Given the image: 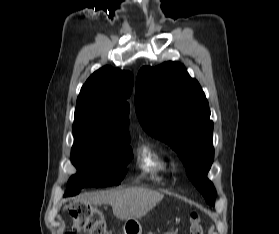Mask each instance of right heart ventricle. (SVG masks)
<instances>
[{
  "mask_svg": "<svg viewBox=\"0 0 279 234\" xmlns=\"http://www.w3.org/2000/svg\"><path fill=\"white\" fill-rule=\"evenodd\" d=\"M139 163L144 171L152 174L156 179H160L170 169V162L165 155L149 144L139 149Z\"/></svg>",
  "mask_w": 279,
  "mask_h": 234,
  "instance_id": "1",
  "label": "right heart ventricle"
}]
</instances>
